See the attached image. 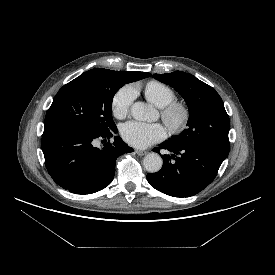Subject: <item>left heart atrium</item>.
Wrapping results in <instances>:
<instances>
[{
  "label": "left heart atrium",
  "instance_id": "left-heart-atrium-1",
  "mask_svg": "<svg viewBox=\"0 0 275 275\" xmlns=\"http://www.w3.org/2000/svg\"><path fill=\"white\" fill-rule=\"evenodd\" d=\"M123 139L136 148H146L164 140L167 136L166 129L158 123H144L129 121L121 127Z\"/></svg>",
  "mask_w": 275,
  "mask_h": 275
}]
</instances>
